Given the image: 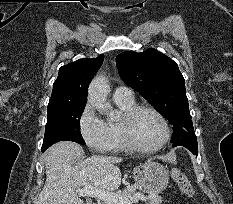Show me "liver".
Segmentation results:
<instances>
[{
	"label": "liver",
	"mask_w": 233,
	"mask_h": 204,
	"mask_svg": "<svg viewBox=\"0 0 233 204\" xmlns=\"http://www.w3.org/2000/svg\"><path fill=\"white\" fill-rule=\"evenodd\" d=\"M84 155L77 143L61 141L45 152L46 182L37 204H83L76 189L86 184L104 191H114L121 184L116 166L123 159L94 155L74 164Z\"/></svg>",
	"instance_id": "6515ba94"
}]
</instances>
